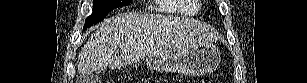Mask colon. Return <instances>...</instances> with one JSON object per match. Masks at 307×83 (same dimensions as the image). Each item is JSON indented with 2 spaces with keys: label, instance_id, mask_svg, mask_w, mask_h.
I'll list each match as a JSON object with an SVG mask.
<instances>
[{
  "label": "colon",
  "instance_id": "5ec220e1",
  "mask_svg": "<svg viewBox=\"0 0 307 83\" xmlns=\"http://www.w3.org/2000/svg\"><path fill=\"white\" fill-rule=\"evenodd\" d=\"M152 83H155L156 81H151ZM201 83H213V80L210 78H204L201 80Z\"/></svg>",
  "mask_w": 307,
  "mask_h": 83
}]
</instances>
